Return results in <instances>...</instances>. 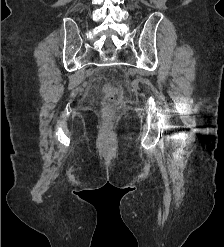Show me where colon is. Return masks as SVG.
<instances>
[{
    "mask_svg": "<svg viewBox=\"0 0 224 247\" xmlns=\"http://www.w3.org/2000/svg\"><path fill=\"white\" fill-rule=\"evenodd\" d=\"M122 99V92L112 86L105 87V111L108 115L113 113V109Z\"/></svg>",
    "mask_w": 224,
    "mask_h": 247,
    "instance_id": "obj_1",
    "label": "colon"
}]
</instances>
